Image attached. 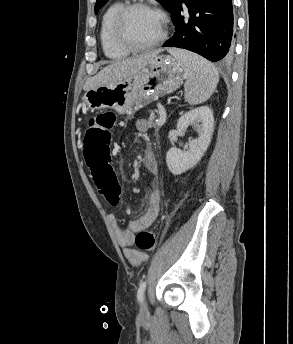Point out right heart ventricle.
Returning <instances> with one entry per match:
<instances>
[{
  "instance_id": "e07e8e85",
  "label": "right heart ventricle",
  "mask_w": 293,
  "mask_h": 344,
  "mask_svg": "<svg viewBox=\"0 0 293 344\" xmlns=\"http://www.w3.org/2000/svg\"><path fill=\"white\" fill-rule=\"evenodd\" d=\"M124 4L120 0L112 2L104 11L100 23V43L105 56L111 60H121L126 58L130 51L120 47L113 38L112 25L118 10Z\"/></svg>"
}]
</instances>
